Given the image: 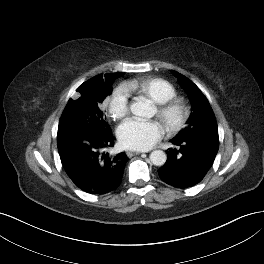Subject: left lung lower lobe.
Masks as SVG:
<instances>
[{"label": "left lung lower lobe", "mask_w": 264, "mask_h": 264, "mask_svg": "<svg viewBox=\"0 0 264 264\" xmlns=\"http://www.w3.org/2000/svg\"><path fill=\"white\" fill-rule=\"evenodd\" d=\"M178 148H169L167 161L158 169L160 178L167 184L184 189L198 184L212 166L219 149V138L196 135L172 139Z\"/></svg>", "instance_id": "1"}]
</instances>
